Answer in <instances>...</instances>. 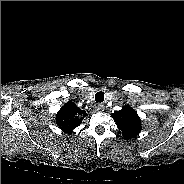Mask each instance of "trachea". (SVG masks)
Masks as SVG:
<instances>
[{"label": "trachea", "instance_id": "obj_1", "mask_svg": "<svg viewBox=\"0 0 184 184\" xmlns=\"http://www.w3.org/2000/svg\"><path fill=\"white\" fill-rule=\"evenodd\" d=\"M95 101L96 102H103L104 101V93L103 92H97L95 95Z\"/></svg>", "mask_w": 184, "mask_h": 184}]
</instances>
